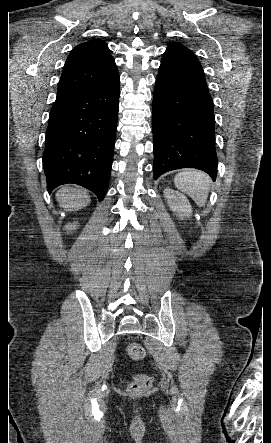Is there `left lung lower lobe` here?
Here are the masks:
<instances>
[{"mask_svg": "<svg viewBox=\"0 0 271 443\" xmlns=\"http://www.w3.org/2000/svg\"><path fill=\"white\" fill-rule=\"evenodd\" d=\"M214 124L213 101L200 62L189 49L169 45L153 97L154 179L189 167L203 170L215 180Z\"/></svg>", "mask_w": 271, "mask_h": 443, "instance_id": "1", "label": "left lung lower lobe"}]
</instances>
